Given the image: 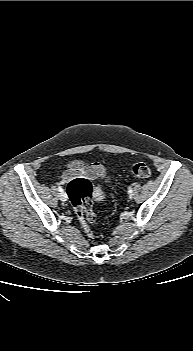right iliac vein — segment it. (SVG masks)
<instances>
[{
  "instance_id": "obj_1",
  "label": "right iliac vein",
  "mask_w": 193,
  "mask_h": 351,
  "mask_svg": "<svg viewBox=\"0 0 193 351\" xmlns=\"http://www.w3.org/2000/svg\"><path fill=\"white\" fill-rule=\"evenodd\" d=\"M61 201H66L67 200V194L65 192L60 193L59 195Z\"/></svg>"
}]
</instances>
